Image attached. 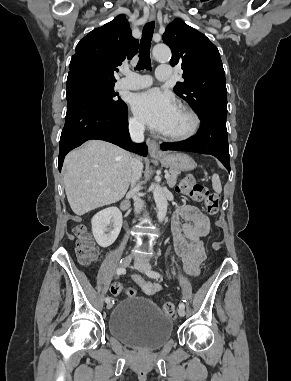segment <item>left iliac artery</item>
Listing matches in <instances>:
<instances>
[{
	"label": "left iliac artery",
	"mask_w": 291,
	"mask_h": 381,
	"mask_svg": "<svg viewBox=\"0 0 291 381\" xmlns=\"http://www.w3.org/2000/svg\"><path fill=\"white\" fill-rule=\"evenodd\" d=\"M149 277L151 278H160L161 277V274L157 271H154V270H148L147 273H146ZM179 308H185V304L184 302H180L179 304Z\"/></svg>",
	"instance_id": "left-iliac-artery-1"
}]
</instances>
